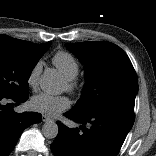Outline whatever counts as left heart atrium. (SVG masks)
I'll return each instance as SVG.
<instances>
[{"mask_svg":"<svg viewBox=\"0 0 156 156\" xmlns=\"http://www.w3.org/2000/svg\"><path fill=\"white\" fill-rule=\"evenodd\" d=\"M30 105L33 110L47 116H56L70 107V100L64 95L40 93L32 97Z\"/></svg>","mask_w":156,"mask_h":156,"instance_id":"left-heart-atrium-1","label":"left heart atrium"}]
</instances>
